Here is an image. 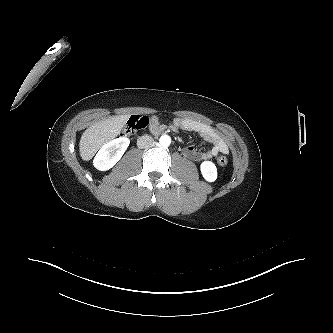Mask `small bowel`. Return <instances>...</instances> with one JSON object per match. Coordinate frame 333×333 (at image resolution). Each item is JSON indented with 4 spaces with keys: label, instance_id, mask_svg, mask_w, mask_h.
Instances as JSON below:
<instances>
[{
    "label": "small bowel",
    "instance_id": "c3829d8e",
    "mask_svg": "<svg viewBox=\"0 0 333 333\" xmlns=\"http://www.w3.org/2000/svg\"><path fill=\"white\" fill-rule=\"evenodd\" d=\"M166 125L163 124L156 116L150 119V130L153 133H159ZM169 128L172 130H187L197 133L205 142L212 145L211 149L200 151L193 145H189L184 149V155L194 161H204L218 154H225L228 152V145L222 136L211 126L202 122L189 119V118H176L169 123Z\"/></svg>",
    "mask_w": 333,
    "mask_h": 333
}]
</instances>
